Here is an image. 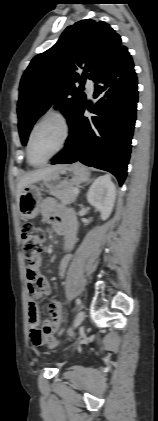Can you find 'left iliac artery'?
<instances>
[{"instance_id":"left-iliac-artery-1","label":"left iliac artery","mask_w":158,"mask_h":421,"mask_svg":"<svg viewBox=\"0 0 158 421\" xmlns=\"http://www.w3.org/2000/svg\"><path fill=\"white\" fill-rule=\"evenodd\" d=\"M76 304L79 306V305H81V300L78 298V299H76ZM63 331V330H62ZM62 331L60 332V334L62 333Z\"/></svg>"}]
</instances>
